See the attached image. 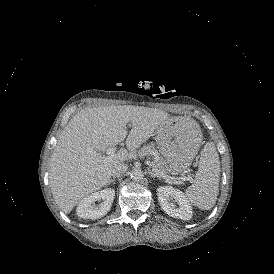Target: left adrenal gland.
I'll return each mask as SVG.
<instances>
[{
	"mask_svg": "<svg viewBox=\"0 0 274 274\" xmlns=\"http://www.w3.org/2000/svg\"><path fill=\"white\" fill-rule=\"evenodd\" d=\"M148 174L151 175L153 178H157L159 180H162V178L159 175H156L155 172L151 169H149Z\"/></svg>",
	"mask_w": 274,
	"mask_h": 274,
	"instance_id": "obj_1",
	"label": "left adrenal gland"
}]
</instances>
